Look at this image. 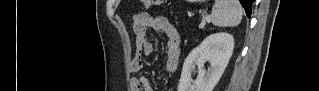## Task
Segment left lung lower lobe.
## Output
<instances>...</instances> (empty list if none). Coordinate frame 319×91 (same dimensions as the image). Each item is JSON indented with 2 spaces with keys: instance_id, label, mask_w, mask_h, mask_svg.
Instances as JSON below:
<instances>
[{
  "instance_id": "1",
  "label": "left lung lower lobe",
  "mask_w": 319,
  "mask_h": 91,
  "mask_svg": "<svg viewBox=\"0 0 319 91\" xmlns=\"http://www.w3.org/2000/svg\"><path fill=\"white\" fill-rule=\"evenodd\" d=\"M239 1L245 9L246 15L248 17H250L251 16V5H252L254 0H239Z\"/></svg>"
}]
</instances>
